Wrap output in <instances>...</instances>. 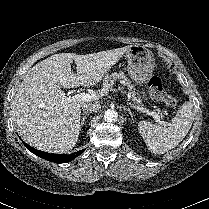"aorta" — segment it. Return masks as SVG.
I'll return each instance as SVG.
<instances>
[{"instance_id": "1", "label": "aorta", "mask_w": 209, "mask_h": 209, "mask_svg": "<svg viewBox=\"0 0 209 209\" xmlns=\"http://www.w3.org/2000/svg\"><path fill=\"white\" fill-rule=\"evenodd\" d=\"M118 113L113 109H108L105 111L104 120L106 122H115L117 120Z\"/></svg>"}]
</instances>
